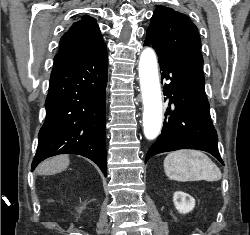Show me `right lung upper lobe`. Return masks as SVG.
Masks as SVG:
<instances>
[{"label":"right lung upper lobe","instance_id":"cb5924a9","mask_svg":"<svg viewBox=\"0 0 250 235\" xmlns=\"http://www.w3.org/2000/svg\"><path fill=\"white\" fill-rule=\"evenodd\" d=\"M103 44L95 19L85 15L62 36L54 65L82 58Z\"/></svg>","mask_w":250,"mask_h":235}]
</instances>
